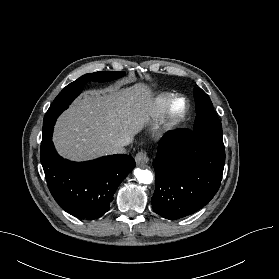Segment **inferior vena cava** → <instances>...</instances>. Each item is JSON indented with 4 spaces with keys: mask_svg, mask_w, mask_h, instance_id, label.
Segmentation results:
<instances>
[{
    "mask_svg": "<svg viewBox=\"0 0 279 279\" xmlns=\"http://www.w3.org/2000/svg\"><path fill=\"white\" fill-rule=\"evenodd\" d=\"M132 141L125 143H115L107 147V154H124L126 152V145L130 144Z\"/></svg>",
    "mask_w": 279,
    "mask_h": 279,
    "instance_id": "602c4592",
    "label": "inferior vena cava"
}]
</instances>
